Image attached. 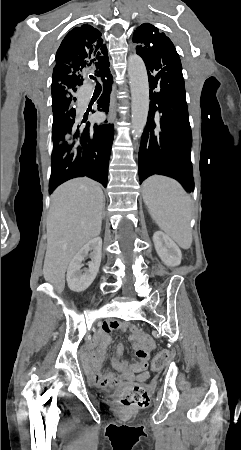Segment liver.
Segmentation results:
<instances>
[{"label": "liver", "mask_w": 241, "mask_h": 450, "mask_svg": "<svg viewBox=\"0 0 241 450\" xmlns=\"http://www.w3.org/2000/svg\"><path fill=\"white\" fill-rule=\"evenodd\" d=\"M104 194L97 182L75 178L56 188L46 222L47 250L43 276L63 292L65 272L75 254L99 236Z\"/></svg>", "instance_id": "1"}]
</instances>
